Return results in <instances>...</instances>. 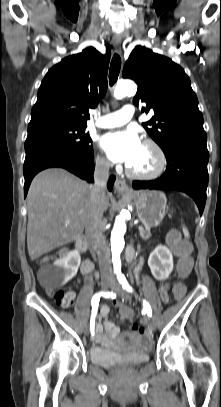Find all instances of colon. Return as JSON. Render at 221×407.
Instances as JSON below:
<instances>
[{
  "label": "colon",
  "instance_id": "colon-1",
  "mask_svg": "<svg viewBox=\"0 0 221 407\" xmlns=\"http://www.w3.org/2000/svg\"><path fill=\"white\" fill-rule=\"evenodd\" d=\"M168 243L172 250L180 257L179 263L176 267L178 279H189L192 272V264L195 263V256L190 255L193 250L194 245L192 242H186L183 240L179 232H171L168 235ZM58 253H63V248H58ZM48 259H54V254H48ZM40 261H47L46 259H39L37 261V266H40ZM188 290L187 282H176L175 285H171L170 298L176 304H179L184 300L186 292ZM48 294L55 299L56 303L62 307H68L73 302L72 296L65 291H47ZM119 316L124 322H128V328L134 329L135 333H143L141 327L137 328V321L134 320V307L131 305H119L118 306Z\"/></svg>",
  "mask_w": 221,
  "mask_h": 407
}]
</instances>
